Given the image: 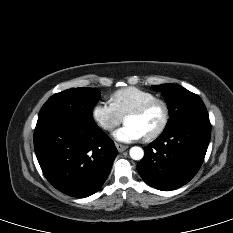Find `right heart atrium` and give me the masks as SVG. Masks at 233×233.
<instances>
[{"label":"right heart atrium","instance_id":"obj_1","mask_svg":"<svg viewBox=\"0 0 233 233\" xmlns=\"http://www.w3.org/2000/svg\"><path fill=\"white\" fill-rule=\"evenodd\" d=\"M92 117L96 124L105 131H113L123 120L111 103L98 102L92 109Z\"/></svg>","mask_w":233,"mask_h":233}]
</instances>
